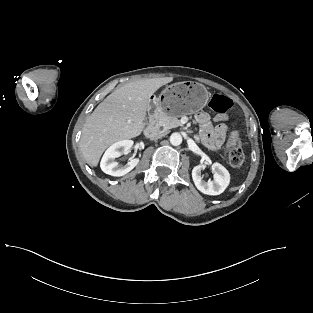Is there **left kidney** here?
<instances>
[{
	"label": "left kidney",
	"instance_id": "1",
	"mask_svg": "<svg viewBox=\"0 0 313 313\" xmlns=\"http://www.w3.org/2000/svg\"><path fill=\"white\" fill-rule=\"evenodd\" d=\"M205 169V165H197L192 170V179L196 188L207 195H219L224 192L230 182V174L228 170L220 163L212 165L214 174L213 180H202L201 171Z\"/></svg>",
	"mask_w": 313,
	"mask_h": 313
}]
</instances>
